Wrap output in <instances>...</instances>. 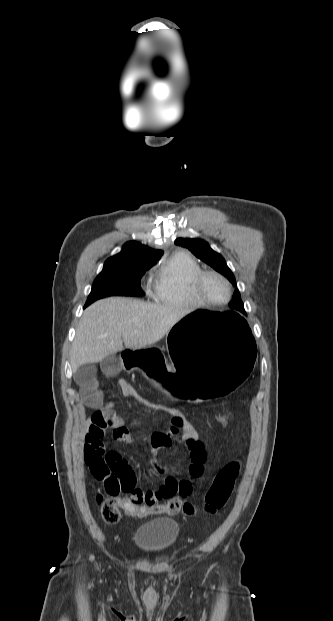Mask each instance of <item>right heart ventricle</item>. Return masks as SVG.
Returning a JSON list of instances; mask_svg holds the SVG:
<instances>
[{"label":"right heart ventricle","mask_w":333,"mask_h":621,"mask_svg":"<svg viewBox=\"0 0 333 621\" xmlns=\"http://www.w3.org/2000/svg\"><path fill=\"white\" fill-rule=\"evenodd\" d=\"M201 272L200 265L189 255L171 256L154 273L152 298L173 306L199 305L192 293V282Z\"/></svg>","instance_id":"e07e8e85"}]
</instances>
